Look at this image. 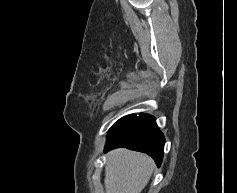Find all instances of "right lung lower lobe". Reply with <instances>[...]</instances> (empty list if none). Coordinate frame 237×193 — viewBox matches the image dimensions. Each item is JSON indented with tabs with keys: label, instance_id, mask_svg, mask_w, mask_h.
Returning <instances> with one entry per match:
<instances>
[{
	"label": "right lung lower lobe",
	"instance_id": "right-lung-lower-lobe-1",
	"mask_svg": "<svg viewBox=\"0 0 237 193\" xmlns=\"http://www.w3.org/2000/svg\"><path fill=\"white\" fill-rule=\"evenodd\" d=\"M165 139L155 118L148 114H130L119 119L109 130L105 152L118 147L147 153L157 166L163 158Z\"/></svg>",
	"mask_w": 237,
	"mask_h": 193
}]
</instances>
